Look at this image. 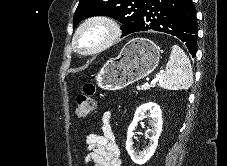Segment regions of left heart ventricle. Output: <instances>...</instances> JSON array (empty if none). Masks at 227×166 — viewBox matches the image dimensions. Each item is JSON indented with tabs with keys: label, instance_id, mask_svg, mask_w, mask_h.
<instances>
[{
	"label": "left heart ventricle",
	"instance_id": "1",
	"mask_svg": "<svg viewBox=\"0 0 227 166\" xmlns=\"http://www.w3.org/2000/svg\"><path fill=\"white\" fill-rule=\"evenodd\" d=\"M105 36V29L100 26H94L84 31L78 40L82 49H90L99 43Z\"/></svg>",
	"mask_w": 227,
	"mask_h": 166
}]
</instances>
